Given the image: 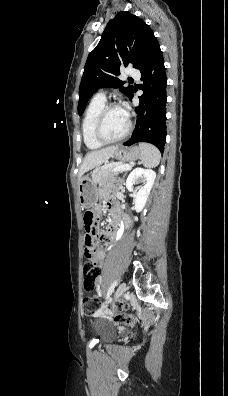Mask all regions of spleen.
I'll use <instances>...</instances> for the list:
<instances>
[{
	"label": "spleen",
	"mask_w": 228,
	"mask_h": 396,
	"mask_svg": "<svg viewBox=\"0 0 228 396\" xmlns=\"http://www.w3.org/2000/svg\"><path fill=\"white\" fill-rule=\"evenodd\" d=\"M139 148L141 151V162L145 167L154 168L156 167L161 159V154L159 150L149 143H139Z\"/></svg>",
	"instance_id": "obj_1"
}]
</instances>
